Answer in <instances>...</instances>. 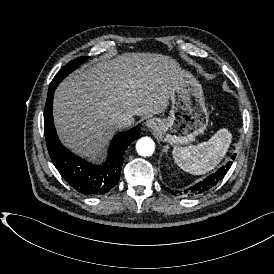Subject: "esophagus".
Returning a JSON list of instances; mask_svg holds the SVG:
<instances>
[{"mask_svg":"<svg viewBox=\"0 0 274 274\" xmlns=\"http://www.w3.org/2000/svg\"><path fill=\"white\" fill-rule=\"evenodd\" d=\"M145 126L148 129H154L155 127H157V123L154 119L150 118L146 120Z\"/></svg>","mask_w":274,"mask_h":274,"instance_id":"obj_1","label":"esophagus"}]
</instances>
